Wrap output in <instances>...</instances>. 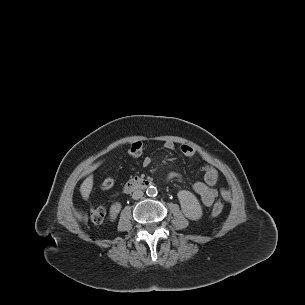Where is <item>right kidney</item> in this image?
I'll use <instances>...</instances> for the list:
<instances>
[{
  "instance_id": "ca27d5eb",
  "label": "right kidney",
  "mask_w": 305,
  "mask_h": 305,
  "mask_svg": "<svg viewBox=\"0 0 305 305\" xmlns=\"http://www.w3.org/2000/svg\"><path fill=\"white\" fill-rule=\"evenodd\" d=\"M120 210H121V204L119 202H116L111 205V207H110L111 220H114L116 218V216L120 212Z\"/></svg>"
}]
</instances>
